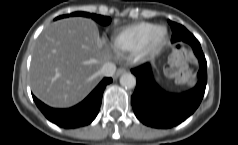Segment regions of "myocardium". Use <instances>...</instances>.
I'll list each match as a JSON object with an SVG mask.
<instances>
[{"label":"myocardium","mask_w":238,"mask_h":145,"mask_svg":"<svg viewBox=\"0 0 238 145\" xmlns=\"http://www.w3.org/2000/svg\"><path fill=\"white\" fill-rule=\"evenodd\" d=\"M168 30L163 25H156L147 37L144 44L136 51L138 59H146L156 53L165 44Z\"/></svg>","instance_id":"f54148a6"}]
</instances>
